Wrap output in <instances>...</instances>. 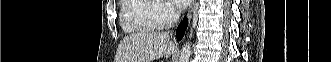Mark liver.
<instances>
[{"mask_svg":"<svg viewBox=\"0 0 331 62\" xmlns=\"http://www.w3.org/2000/svg\"><path fill=\"white\" fill-rule=\"evenodd\" d=\"M174 49L168 33L141 31L126 36L120 42L115 62H151L163 56L169 58Z\"/></svg>","mask_w":331,"mask_h":62,"instance_id":"1","label":"liver"}]
</instances>
